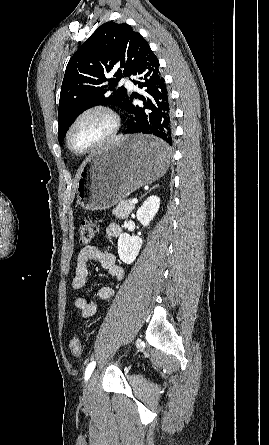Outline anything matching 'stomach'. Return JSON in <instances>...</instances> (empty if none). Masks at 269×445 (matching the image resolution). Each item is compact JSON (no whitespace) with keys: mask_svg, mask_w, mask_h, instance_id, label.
Here are the masks:
<instances>
[{"mask_svg":"<svg viewBox=\"0 0 269 445\" xmlns=\"http://www.w3.org/2000/svg\"><path fill=\"white\" fill-rule=\"evenodd\" d=\"M155 141L150 136L128 135L95 152L77 178L80 206L92 211L109 209L159 179L169 166L170 156L147 154L144 146Z\"/></svg>","mask_w":269,"mask_h":445,"instance_id":"stomach-1","label":"stomach"}]
</instances>
